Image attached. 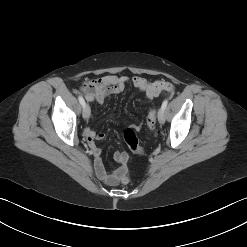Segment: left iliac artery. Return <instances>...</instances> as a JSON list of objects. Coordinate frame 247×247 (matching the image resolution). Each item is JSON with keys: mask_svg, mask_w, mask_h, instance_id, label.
<instances>
[{"mask_svg": "<svg viewBox=\"0 0 247 247\" xmlns=\"http://www.w3.org/2000/svg\"><path fill=\"white\" fill-rule=\"evenodd\" d=\"M167 104H168V100L165 99V100L163 101V103H162L161 109L165 110L166 107H167Z\"/></svg>", "mask_w": 247, "mask_h": 247, "instance_id": "44dca946", "label": "left iliac artery"}]
</instances>
